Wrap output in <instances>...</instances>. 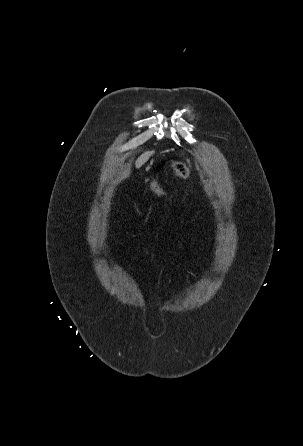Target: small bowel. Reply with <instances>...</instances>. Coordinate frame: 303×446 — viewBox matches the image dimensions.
<instances>
[{"instance_id":"obj_1","label":"small bowel","mask_w":303,"mask_h":446,"mask_svg":"<svg viewBox=\"0 0 303 446\" xmlns=\"http://www.w3.org/2000/svg\"><path fill=\"white\" fill-rule=\"evenodd\" d=\"M151 257L152 261L154 262L155 266L158 268V270L161 273L165 272L164 266L162 265V263L159 261V259L157 258V256L155 255V253H153L152 251H150L148 248L144 247L143 248Z\"/></svg>"}]
</instances>
